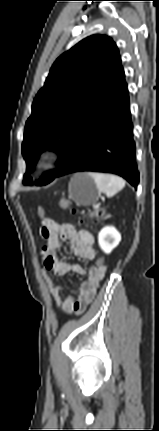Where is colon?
<instances>
[{"instance_id": "colon-1", "label": "colon", "mask_w": 159, "mask_h": 431, "mask_svg": "<svg viewBox=\"0 0 159 431\" xmlns=\"http://www.w3.org/2000/svg\"><path fill=\"white\" fill-rule=\"evenodd\" d=\"M70 205L71 204L68 200H62L59 204L60 208H62V209H65V208L69 207ZM72 211L74 214H76L78 216L79 224L84 223L85 217L97 218L100 215V213H85L84 211H80L76 208H72ZM38 214H39L40 218L42 219V221L46 219L43 207H41V206L38 207ZM107 258L108 257L106 254H101L100 259L95 260V265L97 266V263H104V261H106Z\"/></svg>"}]
</instances>
